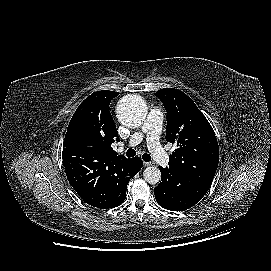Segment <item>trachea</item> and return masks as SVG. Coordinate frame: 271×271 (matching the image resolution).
Returning <instances> with one entry per match:
<instances>
[{
  "label": "trachea",
  "mask_w": 271,
  "mask_h": 271,
  "mask_svg": "<svg viewBox=\"0 0 271 271\" xmlns=\"http://www.w3.org/2000/svg\"><path fill=\"white\" fill-rule=\"evenodd\" d=\"M136 155V151L134 149H128L127 152H126V156L127 157H134ZM142 159L145 161V162H149L151 161V156L149 154H143L142 155Z\"/></svg>",
  "instance_id": "1"
}]
</instances>
